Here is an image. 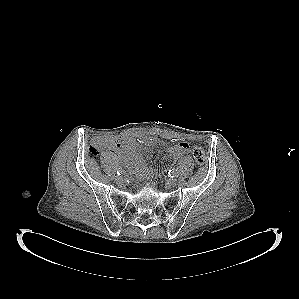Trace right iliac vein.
<instances>
[{
    "label": "right iliac vein",
    "instance_id": "1",
    "mask_svg": "<svg viewBox=\"0 0 299 299\" xmlns=\"http://www.w3.org/2000/svg\"><path fill=\"white\" fill-rule=\"evenodd\" d=\"M115 181H116L117 183H122V182H123V178H122L121 176H116V177H115Z\"/></svg>",
    "mask_w": 299,
    "mask_h": 299
}]
</instances>
